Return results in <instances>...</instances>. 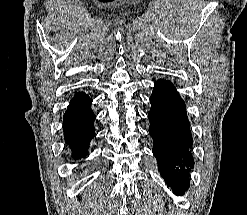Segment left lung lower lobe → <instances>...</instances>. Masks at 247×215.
<instances>
[{
	"mask_svg": "<svg viewBox=\"0 0 247 215\" xmlns=\"http://www.w3.org/2000/svg\"><path fill=\"white\" fill-rule=\"evenodd\" d=\"M150 103L148 117L153 154L165 182L176 194L182 195L189 187V172L194 165L185 103L167 80L155 83Z\"/></svg>",
	"mask_w": 247,
	"mask_h": 215,
	"instance_id": "left-lung-lower-lobe-1",
	"label": "left lung lower lobe"
}]
</instances>
